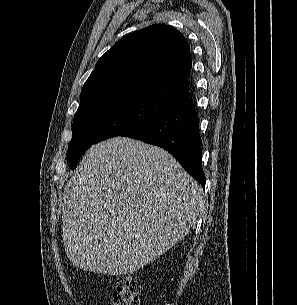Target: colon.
<instances>
[{
	"label": "colon",
	"mask_w": 297,
	"mask_h": 305,
	"mask_svg": "<svg viewBox=\"0 0 297 305\" xmlns=\"http://www.w3.org/2000/svg\"><path fill=\"white\" fill-rule=\"evenodd\" d=\"M139 292L138 281L130 275L123 276L116 283L109 305H139Z\"/></svg>",
	"instance_id": "obj_1"
}]
</instances>
